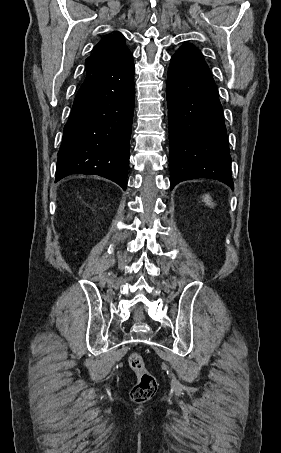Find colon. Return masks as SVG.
<instances>
[{
  "mask_svg": "<svg viewBox=\"0 0 281 453\" xmlns=\"http://www.w3.org/2000/svg\"><path fill=\"white\" fill-rule=\"evenodd\" d=\"M130 371L138 378V383L130 392V399L136 403L147 402L157 389V380L138 353H130L127 357Z\"/></svg>",
  "mask_w": 281,
  "mask_h": 453,
  "instance_id": "5ec220e1",
  "label": "colon"
}]
</instances>
